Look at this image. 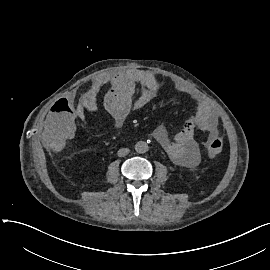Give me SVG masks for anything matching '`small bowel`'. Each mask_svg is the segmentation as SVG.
Wrapping results in <instances>:
<instances>
[{"mask_svg":"<svg viewBox=\"0 0 270 270\" xmlns=\"http://www.w3.org/2000/svg\"><path fill=\"white\" fill-rule=\"evenodd\" d=\"M107 85L110 88L105 96V108L113 119L115 130L124 126L131 111L145 107L165 87H172L195 98L198 102L195 116L188 119L174 137H169L164 125L158 126L153 136L176 164L195 167L200 163L196 133L203 131L209 135L217 134L216 115L194 91L142 69H126L100 75L80 98L70 92L61 94L41 122L40 138L50 150L59 151L78 141L80 134L77 123L86 124L88 115L97 112L96 97ZM137 85L141 90L135 97Z\"/></svg>","mask_w":270,"mask_h":270,"instance_id":"c3829d8e","label":"small bowel"}]
</instances>
